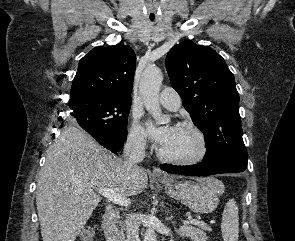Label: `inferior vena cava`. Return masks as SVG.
Wrapping results in <instances>:
<instances>
[{
    "label": "inferior vena cava",
    "mask_w": 295,
    "mask_h": 241,
    "mask_svg": "<svg viewBox=\"0 0 295 241\" xmlns=\"http://www.w3.org/2000/svg\"><path fill=\"white\" fill-rule=\"evenodd\" d=\"M145 141L137 136H131L127 139L123 151V163L127 174H133L140 170L138 163L145 158ZM140 220L136 214L126 216V241H140L139 238Z\"/></svg>",
    "instance_id": "602c4592"
}]
</instances>
